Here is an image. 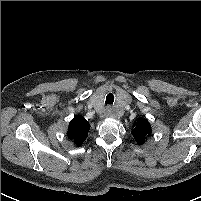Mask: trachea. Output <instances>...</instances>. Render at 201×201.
I'll return each mask as SVG.
<instances>
[{
  "label": "trachea",
  "instance_id": "trachea-1",
  "mask_svg": "<svg viewBox=\"0 0 201 201\" xmlns=\"http://www.w3.org/2000/svg\"><path fill=\"white\" fill-rule=\"evenodd\" d=\"M114 102V96L112 93L107 94L106 100H105V105H111Z\"/></svg>",
  "mask_w": 201,
  "mask_h": 201
}]
</instances>
